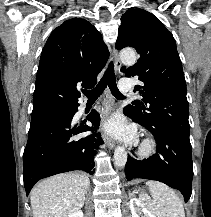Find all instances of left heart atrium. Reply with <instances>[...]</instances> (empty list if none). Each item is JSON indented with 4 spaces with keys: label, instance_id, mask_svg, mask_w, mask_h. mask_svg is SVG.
I'll list each match as a JSON object with an SVG mask.
<instances>
[{
    "label": "left heart atrium",
    "instance_id": "left-heart-atrium-1",
    "mask_svg": "<svg viewBox=\"0 0 211 217\" xmlns=\"http://www.w3.org/2000/svg\"><path fill=\"white\" fill-rule=\"evenodd\" d=\"M106 131L115 138L122 139L128 143H135L137 130L134 126L126 125L121 118H112L105 126Z\"/></svg>",
    "mask_w": 211,
    "mask_h": 217
}]
</instances>
